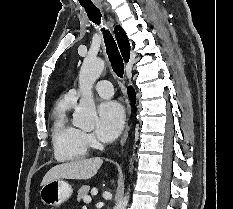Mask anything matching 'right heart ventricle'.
Returning a JSON list of instances; mask_svg holds the SVG:
<instances>
[{"mask_svg": "<svg viewBox=\"0 0 233 209\" xmlns=\"http://www.w3.org/2000/svg\"><path fill=\"white\" fill-rule=\"evenodd\" d=\"M76 99L69 93L60 97L52 112V142L58 161H76L88 155V146L81 131L69 120Z\"/></svg>", "mask_w": 233, "mask_h": 209, "instance_id": "e07e8e85", "label": "right heart ventricle"}]
</instances>
